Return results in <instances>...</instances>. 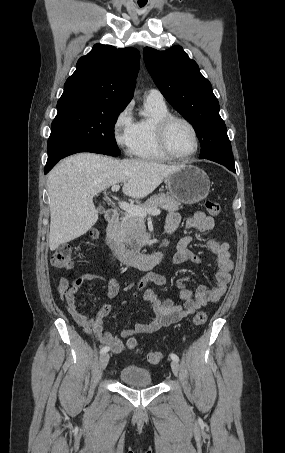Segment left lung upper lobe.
Wrapping results in <instances>:
<instances>
[{
  "mask_svg": "<svg viewBox=\"0 0 285 453\" xmlns=\"http://www.w3.org/2000/svg\"><path fill=\"white\" fill-rule=\"evenodd\" d=\"M143 57L166 100L191 123L201 143L199 158L219 155L233 161L231 143L219 103L197 63L180 46L166 51L145 47Z\"/></svg>",
  "mask_w": 285,
  "mask_h": 453,
  "instance_id": "left-lung-upper-lobe-1",
  "label": "left lung upper lobe"
}]
</instances>
